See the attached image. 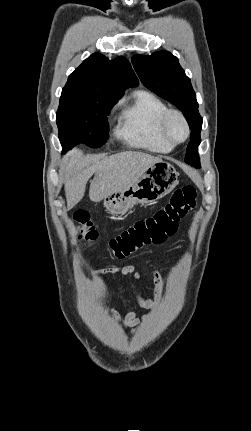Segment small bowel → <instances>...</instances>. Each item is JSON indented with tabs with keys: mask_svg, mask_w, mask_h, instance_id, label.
Wrapping results in <instances>:
<instances>
[{
	"mask_svg": "<svg viewBox=\"0 0 251 431\" xmlns=\"http://www.w3.org/2000/svg\"><path fill=\"white\" fill-rule=\"evenodd\" d=\"M150 270L154 281L152 297L144 298L136 292L135 300L133 303L130 304V310L124 316H121L118 312L114 310H111L109 312L111 317L117 322H119L124 328L131 329L132 334L135 332V327L139 324L141 320L146 321L150 318V314H144L141 318L138 317L136 310L138 308L145 309V310H153L157 307L161 298V293H162L161 276L156 269L150 268ZM112 274H119L120 277L123 279L131 277L136 282L140 280V273L136 270L135 266L133 265L111 266V267H106V268L94 271L92 273L93 276H104V275H112Z\"/></svg>",
	"mask_w": 251,
	"mask_h": 431,
	"instance_id": "1",
	"label": "small bowel"
}]
</instances>
